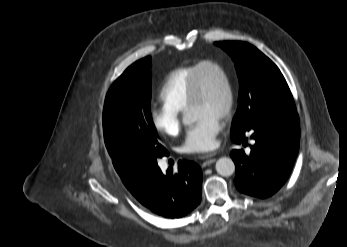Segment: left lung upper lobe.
Wrapping results in <instances>:
<instances>
[{"mask_svg": "<svg viewBox=\"0 0 347 247\" xmlns=\"http://www.w3.org/2000/svg\"><path fill=\"white\" fill-rule=\"evenodd\" d=\"M233 59L239 78V105L231 133L274 113H294L291 91L278 67L254 46L245 42H216Z\"/></svg>", "mask_w": 347, "mask_h": 247, "instance_id": "5c2ea615", "label": "left lung upper lobe"}]
</instances>
